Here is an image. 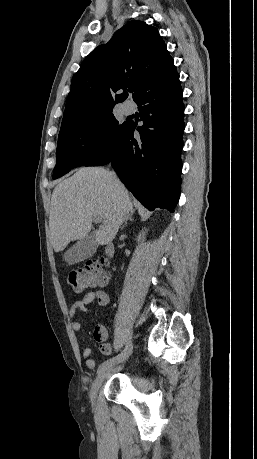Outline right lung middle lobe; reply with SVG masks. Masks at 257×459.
<instances>
[{"instance_id": "1", "label": "right lung middle lobe", "mask_w": 257, "mask_h": 459, "mask_svg": "<svg viewBox=\"0 0 257 459\" xmlns=\"http://www.w3.org/2000/svg\"><path fill=\"white\" fill-rule=\"evenodd\" d=\"M128 122L119 124L112 110L75 124L59 134L53 179L108 152Z\"/></svg>"}]
</instances>
